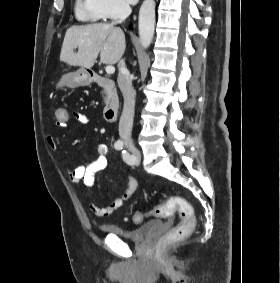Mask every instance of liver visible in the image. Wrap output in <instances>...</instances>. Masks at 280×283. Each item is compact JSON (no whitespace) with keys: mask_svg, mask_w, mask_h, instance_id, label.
<instances>
[{"mask_svg":"<svg viewBox=\"0 0 280 283\" xmlns=\"http://www.w3.org/2000/svg\"><path fill=\"white\" fill-rule=\"evenodd\" d=\"M76 47L78 52H74ZM125 48L124 32L113 24L72 26L65 33L60 61L89 69L100 54L101 63L113 65L119 62Z\"/></svg>","mask_w":280,"mask_h":283,"instance_id":"liver-1","label":"liver"}]
</instances>
